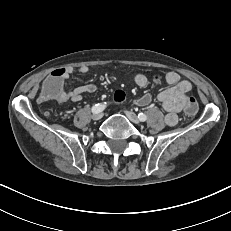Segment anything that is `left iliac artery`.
<instances>
[{"instance_id":"obj_1","label":"left iliac artery","mask_w":231,"mask_h":231,"mask_svg":"<svg viewBox=\"0 0 231 231\" xmlns=\"http://www.w3.org/2000/svg\"><path fill=\"white\" fill-rule=\"evenodd\" d=\"M138 118L140 121L144 122L147 120V116L144 113H139Z\"/></svg>"}]
</instances>
